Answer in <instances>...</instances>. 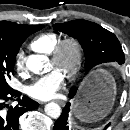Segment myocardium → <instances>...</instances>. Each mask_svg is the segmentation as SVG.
I'll return each mask as SVG.
<instances>
[{
	"mask_svg": "<svg viewBox=\"0 0 130 130\" xmlns=\"http://www.w3.org/2000/svg\"><path fill=\"white\" fill-rule=\"evenodd\" d=\"M69 49L73 53V58L71 64L67 67H64L63 74L67 78H73L80 71L84 58L83 45L78 38L74 36H68L60 39L50 53V56L54 66L56 68H60L63 65L65 53Z\"/></svg>",
	"mask_w": 130,
	"mask_h": 130,
	"instance_id": "myocardium-1",
	"label": "myocardium"
}]
</instances>
